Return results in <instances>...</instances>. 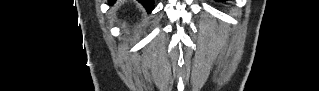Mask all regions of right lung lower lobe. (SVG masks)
Instances as JSON below:
<instances>
[{"mask_svg":"<svg viewBox=\"0 0 319 91\" xmlns=\"http://www.w3.org/2000/svg\"><path fill=\"white\" fill-rule=\"evenodd\" d=\"M116 0H112L110 1L111 3L115 2ZM145 8L146 10L149 12L152 11V9H154V0H138Z\"/></svg>","mask_w":319,"mask_h":91,"instance_id":"right-lung-lower-lobe-1","label":"right lung lower lobe"}]
</instances>
